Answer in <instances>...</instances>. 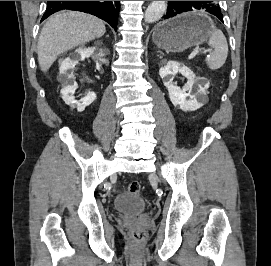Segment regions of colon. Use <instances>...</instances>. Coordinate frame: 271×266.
Wrapping results in <instances>:
<instances>
[{"label": "colon", "mask_w": 271, "mask_h": 266, "mask_svg": "<svg viewBox=\"0 0 271 266\" xmlns=\"http://www.w3.org/2000/svg\"><path fill=\"white\" fill-rule=\"evenodd\" d=\"M141 190V185L137 181H133L128 185V191L133 195H139ZM131 236L135 241H143L146 237V234L141 229H134L131 233Z\"/></svg>", "instance_id": "colon-1"}]
</instances>
